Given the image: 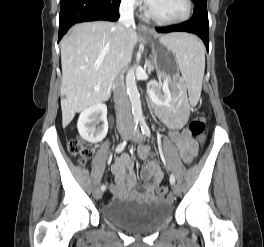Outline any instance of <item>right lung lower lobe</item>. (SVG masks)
<instances>
[{
  "mask_svg": "<svg viewBox=\"0 0 264 247\" xmlns=\"http://www.w3.org/2000/svg\"><path fill=\"white\" fill-rule=\"evenodd\" d=\"M121 0H60L59 40L75 23L119 19Z\"/></svg>",
  "mask_w": 264,
  "mask_h": 247,
  "instance_id": "98d812e1",
  "label": "right lung lower lobe"
}]
</instances>
